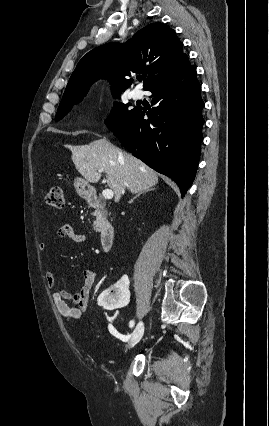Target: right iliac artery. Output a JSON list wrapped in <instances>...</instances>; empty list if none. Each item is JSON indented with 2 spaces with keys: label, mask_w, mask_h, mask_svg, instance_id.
<instances>
[{
  "label": "right iliac artery",
  "mask_w": 269,
  "mask_h": 426,
  "mask_svg": "<svg viewBox=\"0 0 269 426\" xmlns=\"http://www.w3.org/2000/svg\"><path fill=\"white\" fill-rule=\"evenodd\" d=\"M134 324H135L134 320H131V321L129 322V327H130V328H132V327L134 326Z\"/></svg>",
  "instance_id": "1"
}]
</instances>
